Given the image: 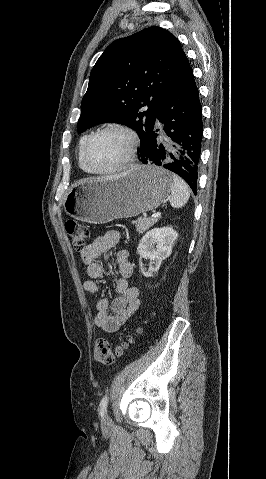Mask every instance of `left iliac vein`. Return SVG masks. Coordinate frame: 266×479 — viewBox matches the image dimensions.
Masks as SVG:
<instances>
[{
	"mask_svg": "<svg viewBox=\"0 0 266 479\" xmlns=\"http://www.w3.org/2000/svg\"><path fill=\"white\" fill-rule=\"evenodd\" d=\"M103 425L106 426V427H109L112 425V420L111 418L109 417V415L106 413L104 415V418H103V421H102Z\"/></svg>",
	"mask_w": 266,
	"mask_h": 479,
	"instance_id": "4c4485c4",
	"label": "left iliac vein"
}]
</instances>
